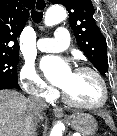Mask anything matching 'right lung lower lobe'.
<instances>
[{
  "label": "right lung lower lobe",
  "instance_id": "1",
  "mask_svg": "<svg viewBox=\"0 0 117 136\" xmlns=\"http://www.w3.org/2000/svg\"><path fill=\"white\" fill-rule=\"evenodd\" d=\"M12 88H16L20 90L17 79H0V90L12 89Z\"/></svg>",
  "mask_w": 117,
  "mask_h": 136
}]
</instances>
